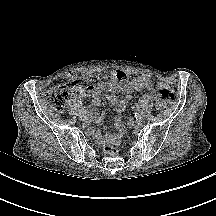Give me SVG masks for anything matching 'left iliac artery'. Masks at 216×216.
Wrapping results in <instances>:
<instances>
[{
	"label": "left iliac artery",
	"mask_w": 216,
	"mask_h": 216,
	"mask_svg": "<svg viewBox=\"0 0 216 216\" xmlns=\"http://www.w3.org/2000/svg\"><path fill=\"white\" fill-rule=\"evenodd\" d=\"M136 110H138L136 113H135V117H139L140 116V113H139V107L138 105H136Z\"/></svg>",
	"instance_id": "44dca946"
}]
</instances>
